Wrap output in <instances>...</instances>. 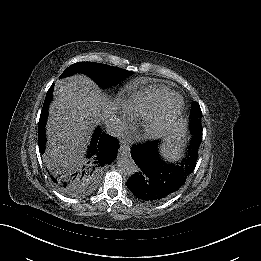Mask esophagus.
I'll list each match as a JSON object with an SVG mask.
<instances>
[{"label": "esophagus", "mask_w": 261, "mask_h": 261, "mask_svg": "<svg viewBox=\"0 0 261 261\" xmlns=\"http://www.w3.org/2000/svg\"><path fill=\"white\" fill-rule=\"evenodd\" d=\"M119 151H120L122 156H128L129 155L130 147H129V143L127 142L126 139L120 140V149H119Z\"/></svg>", "instance_id": "esophagus-1"}]
</instances>
